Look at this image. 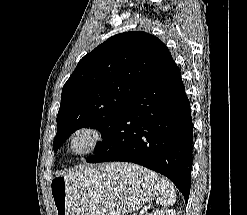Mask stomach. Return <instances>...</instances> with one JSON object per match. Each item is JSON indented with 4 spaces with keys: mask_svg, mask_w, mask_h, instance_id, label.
Segmentation results:
<instances>
[{
    "mask_svg": "<svg viewBox=\"0 0 247 215\" xmlns=\"http://www.w3.org/2000/svg\"><path fill=\"white\" fill-rule=\"evenodd\" d=\"M158 190L156 173L127 163L86 167L50 182L56 215H127L154 200Z\"/></svg>",
    "mask_w": 247,
    "mask_h": 215,
    "instance_id": "obj_1",
    "label": "stomach"
}]
</instances>
